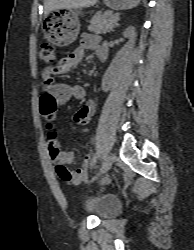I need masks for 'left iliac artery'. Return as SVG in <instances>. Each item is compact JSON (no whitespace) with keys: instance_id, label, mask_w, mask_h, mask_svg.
Here are the masks:
<instances>
[{"instance_id":"left-iliac-artery-1","label":"left iliac artery","mask_w":194,"mask_h":250,"mask_svg":"<svg viewBox=\"0 0 194 250\" xmlns=\"http://www.w3.org/2000/svg\"><path fill=\"white\" fill-rule=\"evenodd\" d=\"M97 162V155L95 154L93 159H92V166H94Z\"/></svg>"}]
</instances>
